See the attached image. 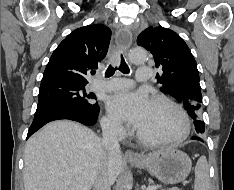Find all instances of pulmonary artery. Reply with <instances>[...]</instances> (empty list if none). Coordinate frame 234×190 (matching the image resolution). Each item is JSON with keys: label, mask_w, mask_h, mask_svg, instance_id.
Masks as SVG:
<instances>
[{"label": "pulmonary artery", "mask_w": 234, "mask_h": 190, "mask_svg": "<svg viewBox=\"0 0 234 190\" xmlns=\"http://www.w3.org/2000/svg\"><path fill=\"white\" fill-rule=\"evenodd\" d=\"M152 70L149 66H140L137 70L136 78L139 82H146L151 78ZM131 86V83L126 78L113 77L106 81H97L92 87L98 91H120Z\"/></svg>", "instance_id": "1"}]
</instances>
